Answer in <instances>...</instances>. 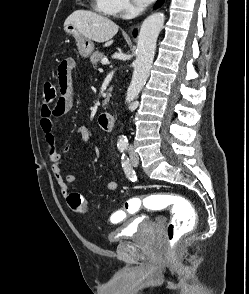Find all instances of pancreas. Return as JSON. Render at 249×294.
Instances as JSON below:
<instances>
[{
    "mask_svg": "<svg viewBox=\"0 0 249 294\" xmlns=\"http://www.w3.org/2000/svg\"><path fill=\"white\" fill-rule=\"evenodd\" d=\"M103 60V53L96 51L95 53H93V55L90 57V62L92 65L97 66V64ZM109 101V94L106 95V99L103 102V106L107 105Z\"/></svg>",
    "mask_w": 249,
    "mask_h": 294,
    "instance_id": "1",
    "label": "pancreas"
}]
</instances>
